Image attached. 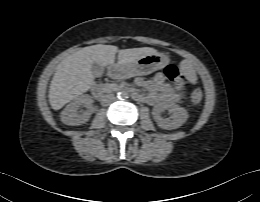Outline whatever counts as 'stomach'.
I'll return each mask as SVG.
<instances>
[{"mask_svg": "<svg viewBox=\"0 0 260 202\" xmlns=\"http://www.w3.org/2000/svg\"><path fill=\"white\" fill-rule=\"evenodd\" d=\"M169 57L161 53L145 55L130 64H115L112 74L117 78H130L135 75H146L167 65Z\"/></svg>", "mask_w": 260, "mask_h": 202, "instance_id": "0dacf381", "label": "stomach"}]
</instances>
